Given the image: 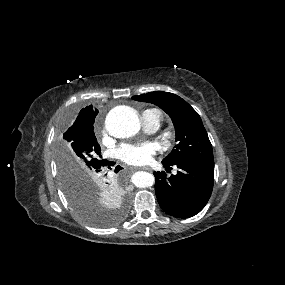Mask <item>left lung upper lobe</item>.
<instances>
[{"label": "left lung upper lobe", "mask_w": 285, "mask_h": 285, "mask_svg": "<svg viewBox=\"0 0 285 285\" xmlns=\"http://www.w3.org/2000/svg\"><path fill=\"white\" fill-rule=\"evenodd\" d=\"M132 98L159 106L173 121L177 144L162 161L163 164L214 161L212 145L202 120L185 100L178 95L163 91L150 92Z\"/></svg>", "instance_id": "left-lung-upper-lobe-1"}]
</instances>
